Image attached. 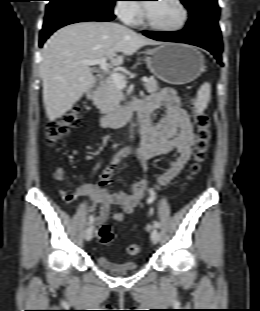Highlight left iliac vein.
<instances>
[{"mask_svg": "<svg viewBox=\"0 0 260 311\" xmlns=\"http://www.w3.org/2000/svg\"><path fill=\"white\" fill-rule=\"evenodd\" d=\"M160 239V233L156 228H153L151 231V240L154 244H157Z\"/></svg>", "mask_w": 260, "mask_h": 311, "instance_id": "1", "label": "left iliac vein"}]
</instances>
